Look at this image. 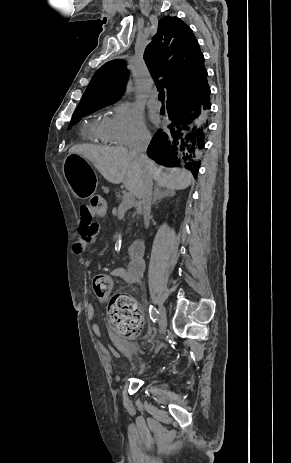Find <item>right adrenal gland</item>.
Returning a JSON list of instances; mask_svg holds the SVG:
<instances>
[{
  "mask_svg": "<svg viewBox=\"0 0 291 463\" xmlns=\"http://www.w3.org/2000/svg\"><path fill=\"white\" fill-rule=\"evenodd\" d=\"M175 193L173 190L165 187H160V186H155L154 188V193H153V199H152V204H156L157 201L169 197V196H174Z\"/></svg>",
  "mask_w": 291,
  "mask_h": 463,
  "instance_id": "2a0ac1e0",
  "label": "right adrenal gland"
}]
</instances>
